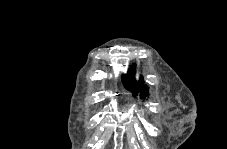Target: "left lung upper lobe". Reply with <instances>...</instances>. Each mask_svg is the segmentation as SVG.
<instances>
[{
  "label": "left lung upper lobe",
  "instance_id": "obj_1",
  "mask_svg": "<svg viewBox=\"0 0 227 149\" xmlns=\"http://www.w3.org/2000/svg\"><path fill=\"white\" fill-rule=\"evenodd\" d=\"M134 72L135 65H133L132 68L129 69L130 75H123L122 82L128 90L133 92L134 95H136L137 91H139L141 98H145L146 96L149 95L147 86L143 84L142 78H140L139 81L135 79V77L133 76Z\"/></svg>",
  "mask_w": 227,
  "mask_h": 149
}]
</instances>
